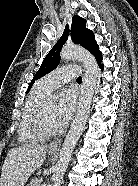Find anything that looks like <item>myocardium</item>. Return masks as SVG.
<instances>
[{"label": "myocardium", "instance_id": "obj_1", "mask_svg": "<svg viewBox=\"0 0 138 186\" xmlns=\"http://www.w3.org/2000/svg\"><path fill=\"white\" fill-rule=\"evenodd\" d=\"M47 102L48 101L45 99L41 103V105L35 112L32 119V127L34 131L43 138L56 137L62 134L64 131V127H61L56 131H51L45 125V111H46Z\"/></svg>", "mask_w": 138, "mask_h": 186}]
</instances>
